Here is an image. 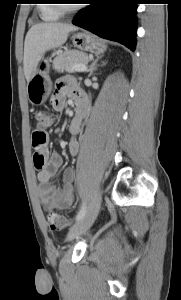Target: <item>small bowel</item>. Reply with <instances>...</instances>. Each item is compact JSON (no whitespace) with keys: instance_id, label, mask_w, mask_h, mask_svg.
Wrapping results in <instances>:
<instances>
[{"instance_id":"small-bowel-1","label":"small bowel","mask_w":181,"mask_h":300,"mask_svg":"<svg viewBox=\"0 0 181 300\" xmlns=\"http://www.w3.org/2000/svg\"><path fill=\"white\" fill-rule=\"evenodd\" d=\"M67 97H72L77 105L83 110L72 119L69 126L70 139L67 142L69 154L75 156L79 152L78 134L86 114L87 100L85 94L79 90L76 82L71 77H62L55 84L52 97V106L60 111L65 107ZM45 161L42 167L38 168L37 178L39 181V197L45 209L67 210L74 200L73 183L75 170L68 167L63 171L61 185H53L52 178L58 173L62 166V158L57 153L47 154L43 152ZM35 164V161H34Z\"/></svg>"}]
</instances>
